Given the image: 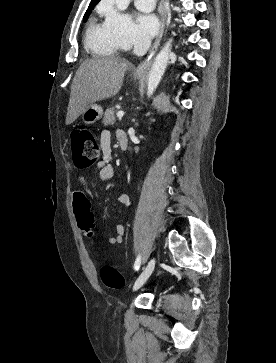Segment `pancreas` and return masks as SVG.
<instances>
[{"label":"pancreas","mask_w":276,"mask_h":363,"mask_svg":"<svg viewBox=\"0 0 276 363\" xmlns=\"http://www.w3.org/2000/svg\"><path fill=\"white\" fill-rule=\"evenodd\" d=\"M115 109L110 107L105 111L104 118L102 120L103 125L108 126L115 122Z\"/></svg>","instance_id":"cf45deb5"}]
</instances>
